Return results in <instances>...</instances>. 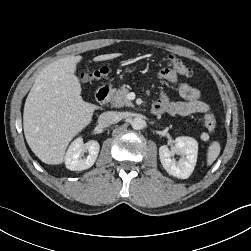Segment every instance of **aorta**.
Segmentation results:
<instances>
[{"label": "aorta", "instance_id": "762f6f07", "mask_svg": "<svg viewBox=\"0 0 251 251\" xmlns=\"http://www.w3.org/2000/svg\"><path fill=\"white\" fill-rule=\"evenodd\" d=\"M131 126L135 130H141L145 126V121L141 117H135L131 121Z\"/></svg>", "mask_w": 251, "mask_h": 251}]
</instances>
